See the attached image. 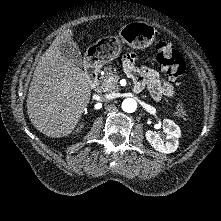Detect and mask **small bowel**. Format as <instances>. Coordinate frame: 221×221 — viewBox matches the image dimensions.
<instances>
[{"instance_id":"1","label":"small bowel","mask_w":221,"mask_h":221,"mask_svg":"<svg viewBox=\"0 0 221 221\" xmlns=\"http://www.w3.org/2000/svg\"><path fill=\"white\" fill-rule=\"evenodd\" d=\"M124 67L126 72L133 78L136 86L147 85L152 96L159 100L162 97H173V81L163 80L159 74L146 66L141 68L135 65V55L128 54L124 58Z\"/></svg>"}]
</instances>
